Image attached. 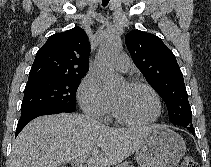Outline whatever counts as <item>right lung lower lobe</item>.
Wrapping results in <instances>:
<instances>
[{
    "label": "right lung lower lobe",
    "instance_id": "1",
    "mask_svg": "<svg viewBox=\"0 0 211 167\" xmlns=\"http://www.w3.org/2000/svg\"><path fill=\"white\" fill-rule=\"evenodd\" d=\"M74 109H63V108H49V109H42L38 111H34L23 115L20 117L17 128H16V136L20 133V131L34 118L42 116V115H49V114H58L62 112H74Z\"/></svg>",
    "mask_w": 211,
    "mask_h": 167
}]
</instances>
